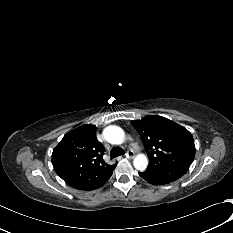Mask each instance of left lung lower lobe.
Returning <instances> with one entry per match:
<instances>
[{
    "label": "left lung lower lobe",
    "instance_id": "1",
    "mask_svg": "<svg viewBox=\"0 0 233 233\" xmlns=\"http://www.w3.org/2000/svg\"><path fill=\"white\" fill-rule=\"evenodd\" d=\"M139 175L145 179L147 182L153 184V185H164L170 183V181L155 175L149 171L139 172Z\"/></svg>",
    "mask_w": 233,
    "mask_h": 233
}]
</instances>
